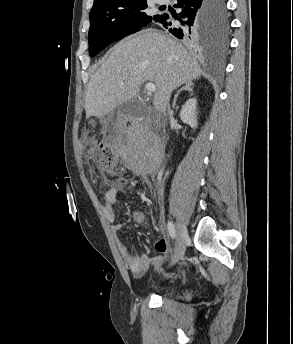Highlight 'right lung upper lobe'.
I'll list each match as a JSON object with an SVG mask.
<instances>
[{"label":"right lung upper lobe","mask_w":293,"mask_h":344,"mask_svg":"<svg viewBox=\"0 0 293 344\" xmlns=\"http://www.w3.org/2000/svg\"><path fill=\"white\" fill-rule=\"evenodd\" d=\"M117 1H120V0H94V4H93L91 11L94 9H97L99 7L106 6L108 4L117 2Z\"/></svg>","instance_id":"obj_1"}]
</instances>
